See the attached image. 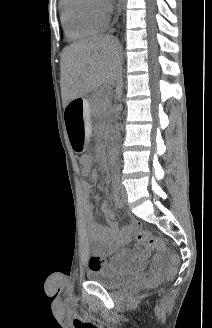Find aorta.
Masks as SVG:
<instances>
[{"mask_svg":"<svg viewBox=\"0 0 212 328\" xmlns=\"http://www.w3.org/2000/svg\"><path fill=\"white\" fill-rule=\"evenodd\" d=\"M115 172H116V173L113 174V179H114V180H119V179H120V174H119L120 169H119V168H116V169H115Z\"/></svg>","mask_w":212,"mask_h":328,"instance_id":"1","label":"aorta"}]
</instances>
